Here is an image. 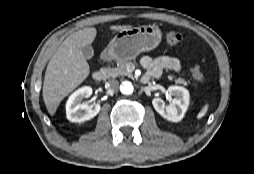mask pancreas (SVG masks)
I'll return each instance as SVG.
<instances>
[{"instance_id":"cf45deb5","label":"pancreas","mask_w":254,"mask_h":174,"mask_svg":"<svg viewBox=\"0 0 254 174\" xmlns=\"http://www.w3.org/2000/svg\"><path fill=\"white\" fill-rule=\"evenodd\" d=\"M132 64L133 63L131 61L121 60V61H118L117 67H115V68L106 67V68H103L102 71L105 72L106 76L109 78L110 77L116 78L118 76L132 77V73L130 71H128V67ZM168 78L170 80L174 79L175 82L178 84L187 85L188 83H190L189 81L188 82L185 81V79H183V78H176L173 75L168 76Z\"/></svg>"}]
</instances>
